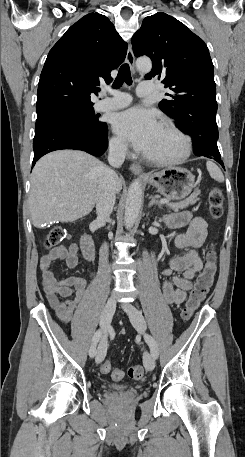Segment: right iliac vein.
Returning a JSON list of instances; mask_svg holds the SVG:
<instances>
[{
    "label": "right iliac vein",
    "mask_w": 245,
    "mask_h": 457,
    "mask_svg": "<svg viewBox=\"0 0 245 457\" xmlns=\"http://www.w3.org/2000/svg\"><path fill=\"white\" fill-rule=\"evenodd\" d=\"M115 308H116V302L113 299L108 300L104 306V309H103V312L101 315V322H100L102 328L104 329V335L102 336L98 349H97V355L95 358L96 363H101L105 358L106 351H107L106 328L112 320V317L115 312Z\"/></svg>",
    "instance_id": "63e3f726"
}]
</instances>
